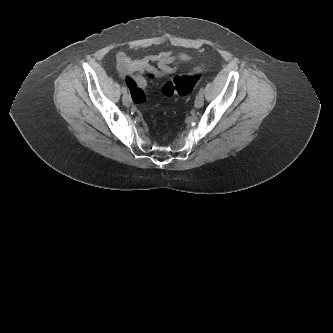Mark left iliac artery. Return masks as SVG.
Wrapping results in <instances>:
<instances>
[{
  "instance_id": "obj_1",
  "label": "left iliac artery",
  "mask_w": 333,
  "mask_h": 333,
  "mask_svg": "<svg viewBox=\"0 0 333 333\" xmlns=\"http://www.w3.org/2000/svg\"><path fill=\"white\" fill-rule=\"evenodd\" d=\"M203 93H204V89H203V87H202V88H200L199 94H202V95H203Z\"/></svg>"
}]
</instances>
